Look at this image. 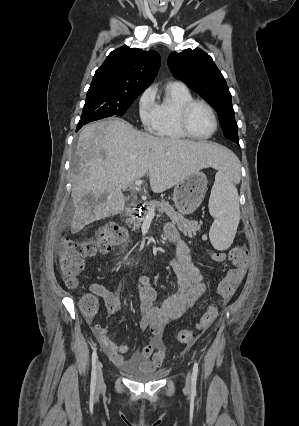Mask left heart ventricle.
I'll return each mask as SVG.
<instances>
[{
    "instance_id": "b2bd125f",
    "label": "left heart ventricle",
    "mask_w": 299,
    "mask_h": 426,
    "mask_svg": "<svg viewBox=\"0 0 299 426\" xmlns=\"http://www.w3.org/2000/svg\"><path fill=\"white\" fill-rule=\"evenodd\" d=\"M189 125L191 130L200 136L210 134L214 129V121L209 110L202 106L196 105L189 116Z\"/></svg>"
}]
</instances>
